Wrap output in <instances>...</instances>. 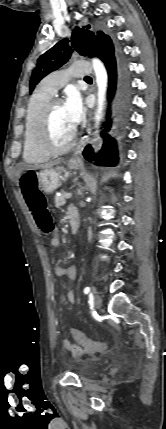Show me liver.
I'll list each match as a JSON object with an SVG mask.
<instances>
[{"label": "liver", "instance_id": "1", "mask_svg": "<svg viewBox=\"0 0 166 429\" xmlns=\"http://www.w3.org/2000/svg\"><path fill=\"white\" fill-rule=\"evenodd\" d=\"M61 160H55L43 165H22L19 170H18V176L21 175V173L25 170H37V169H49L52 168L53 166H56L58 164H60Z\"/></svg>", "mask_w": 166, "mask_h": 429}]
</instances>
